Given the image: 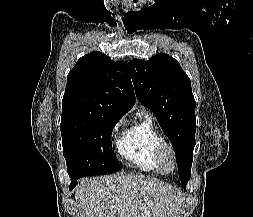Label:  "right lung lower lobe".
Masks as SVG:
<instances>
[{
    "label": "right lung lower lobe",
    "mask_w": 253,
    "mask_h": 217,
    "mask_svg": "<svg viewBox=\"0 0 253 217\" xmlns=\"http://www.w3.org/2000/svg\"><path fill=\"white\" fill-rule=\"evenodd\" d=\"M77 180H78V179H72V180H71V184H70V186H69L70 189H72V188L76 185Z\"/></svg>",
    "instance_id": "right-lung-lower-lobe-1"
}]
</instances>
